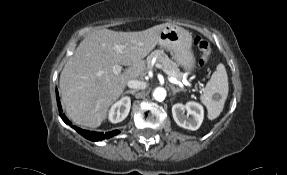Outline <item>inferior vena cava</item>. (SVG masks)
<instances>
[{"label": "inferior vena cava", "mask_w": 287, "mask_h": 175, "mask_svg": "<svg viewBox=\"0 0 287 175\" xmlns=\"http://www.w3.org/2000/svg\"><path fill=\"white\" fill-rule=\"evenodd\" d=\"M129 88L133 89H145L146 88V82L140 81V80H130L127 83Z\"/></svg>", "instance_id": "inferior-vena-cava-1"}]
</instances>
